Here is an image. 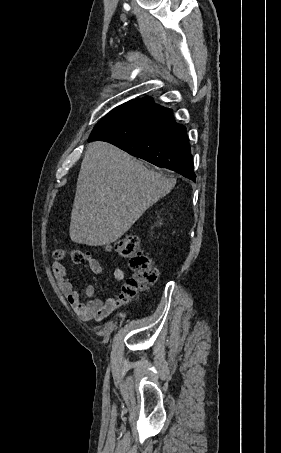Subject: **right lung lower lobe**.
Instances as JSON below:
<instances>
[{
	"instance_id": "right-lung-lower-lobe-1",
	"label": "right lung lower lobe",
	"mask_w": 281,
	"mask_h": 453,
	"mask_svg": "<svg viewBox=\"0 0 281 453\" xmlns=\"http://www.w3.org/2000/svg\"><path fill=\"white\" fill-rule=\"evenodd\" d=\"M106 141L158 167L195 181L186 129L172 111L150 97L131 100L113 109L94 127L89 142Z\"/></svg>"
}]
</instances>
